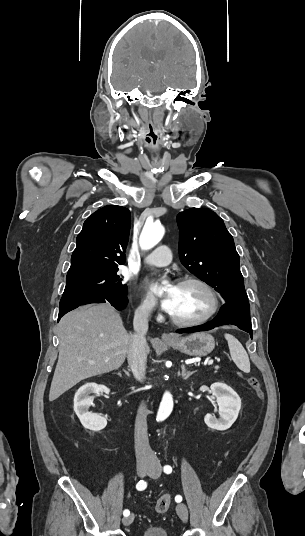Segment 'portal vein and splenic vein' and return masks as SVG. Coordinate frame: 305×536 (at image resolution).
Segmentation results:
<instances>
[{
    "label": "portal vein and splenic vein",
    "mask_w": 305,
    "mask_h": 536,
    "mask_svg": "<svg viewBox=\"0 0 305 536\" xmlns=\"http://www.w3.org/2000/svg\"><path fill=\"white\" fill-rule=\"evenodd\" d=\"M208 364H213V360H209Z\"/></svg>",
    "instance_id": "portal-vein-and-splenic-vein-1"
}]
</instances>
